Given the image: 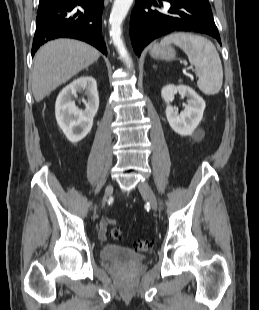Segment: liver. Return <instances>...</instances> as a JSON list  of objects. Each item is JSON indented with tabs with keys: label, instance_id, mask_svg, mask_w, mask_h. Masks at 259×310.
<instances>
[{
	"label": "liver",
	"instance_id": "6515ba94",
	"mask_svg": "<svg viewBox=\"0 0 259 310\" xmlns=\"http://www.w3.org/2000/svg\"><path fill=\"white\" fill-rule=\"evenodd\" d=\"M100 52L74 39H56L46 43L34 57L32 92L37 102L96 62Z\"/></svg>",
	"mask_w": 259,
	"mask_h": 310
}]
</instances>
